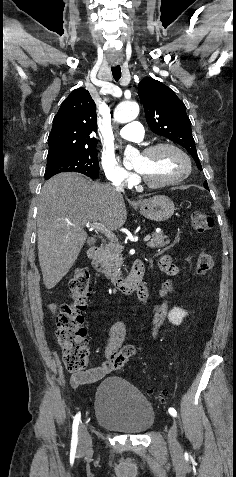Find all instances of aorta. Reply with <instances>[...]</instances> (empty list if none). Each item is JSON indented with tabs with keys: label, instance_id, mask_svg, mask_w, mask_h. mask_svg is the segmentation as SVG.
Returning a JSON list of instances; mask_svg holds the SVG:
<instances>
[{
	"label": "aorta",
	"instance_id": "aorta-1",
	"mask_svg": "<svg viewBox=\"0 0 236 477\" xmlns=\"http://www.w3.org/2000/svg\"><path fill=\"white\" fill-rule=\"evenodd\" d=\"M139 114V106L134 101L120 103L114 112V117L118 122L127 123L134 120ZM136 153L134 148H127L124 152V159H131Z\"/></svg>",
	"mask_w": 236,
	"mask_h": 477
}]
</instances>
